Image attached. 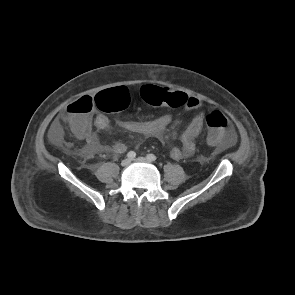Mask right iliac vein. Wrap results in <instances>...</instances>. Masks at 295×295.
I'll list each match as a JSON object with an SVG mask.
<instances>
[{
  "label": "right iliac vein",
  "mask_w": 295,
  "mask_h": 295,
  "mask_svg": "<svg viewBox=\"0 0 295 295\" xmlns=\"http://www.w3.org/2000/svg\"><path fill=\"white\" fill-rule=\"evenodd\" d=\"M130 162H131V160L129 158H126L121 162V165L123 167H125V166H128L130 164Z\"/></svg>",
  "instance_id": "obj_1"
}]
</instances>
